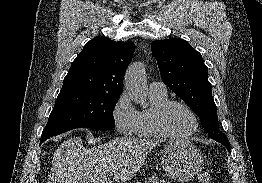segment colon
<instances>
[{
    "instance_id": "obj_1",
    "label": "colon",
    "mask_w": 262,
    "mask_h": 183,
    "mask_svg": "<svg viewBox=\"0 0 262 183\" xmlns=\"http://www.w3.org/2000/svg\"><path fill=\"white\" fill-rule=\"evenodd\" d=\"M197 183H211V174L209 171L201 172L197 177Z\"/></svg>"
}]
</instances>
